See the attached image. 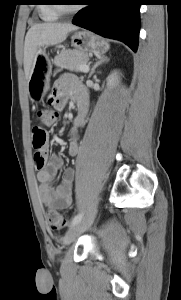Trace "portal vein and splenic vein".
Returning a JSON list of instances; mask_svg holds the SVG:
<instances>
[{"label":"portal vein and splenic vein","instance_id":"1","mask_svg":"<svg viewBox=\"0 0 181 300\" xmlns=\"http://www.w3.org/2000/svg\"><path fill=\"white\" fill-rule=\"evenodd\" d=\"M79 70L82 71V72H88L89 66L88 65H81L79 67Z\"/></svg>","mask_w":181,"mask_h":300}]
</instances>
